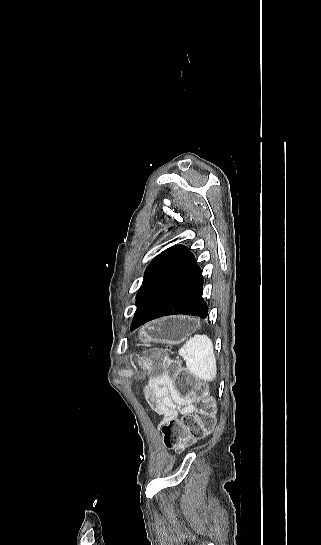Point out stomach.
Returning a JSON list of instances; mask_svg holds the SVG:
<instances>
[{
	"mask_svg": "<svg viewBox=\"0 0 321 545\" xmlns=\"http://www.w3.org/2000/svg\"><path fill=\"white\" fill-rule=\"evenodd\" d=\"M198 327H200L199 321L189 317H164L139 329L137 341L143 345H151V343L178 345L190 337Z\"/></svg>",
	"mask_w": 321,
	"mask_h": 545,
	"instance_id": "1",
	"label": "stomach"
}]
</instances>
